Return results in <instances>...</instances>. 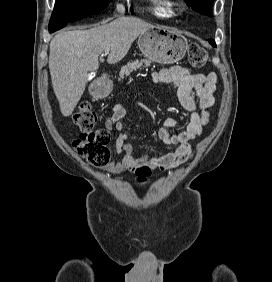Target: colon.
<instances>
[{
	"instance_id": "5ec220e1",
	"label": "colon",
	"mask_w": 272,
	"mask_h": 282,
	"mask_svg": "<svg viewBox=\"0 0 272 282\" xmlns=\"http://www.w3.org/2000/svg\"><path fill=\"white\" fill-rule=\"evenodd\" d=\"M189 62L194 67H203L208 60L206 50L193 43L189 46ZM98 116L87 101L79 104L73 115V122L81 129L80 134L72 140V148L95 167L105 166L110 158L108 129L93 130Z\"/></svg>"
}]
</instances>
